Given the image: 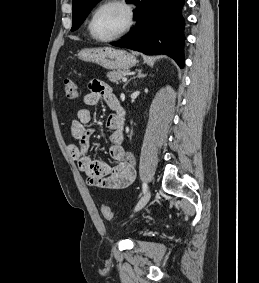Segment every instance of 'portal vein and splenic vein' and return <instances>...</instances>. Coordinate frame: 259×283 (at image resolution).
<instances>
[{
	"instance_id": "portal-vein-and-splenic-vein-1",
	"label": "portal vein and splenic vein",
	"mask_w": 259,
	"mask_h": 283,
	"mask_svg": "<svg viewBox=\"0 0 259 283\" xmlns=\"http://www.w3.org/2000/svg\"><path fill=\"white\" fill-rule=\"evenodd\" d=\"M122 81H123V82H126V81H127V78H126V77H123V78H122Z\"/></svg>"
}]
</instances>
